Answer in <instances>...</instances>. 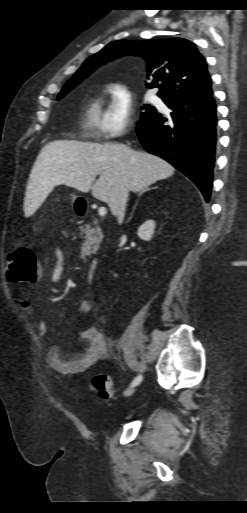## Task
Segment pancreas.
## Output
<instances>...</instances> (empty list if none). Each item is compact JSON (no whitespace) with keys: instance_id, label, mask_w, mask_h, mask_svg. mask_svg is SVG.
<instances>
[{"instance_id":"1","label":"pancreas","mask_w":247,"mask_h":513,"mask_svg":"<svg viewBox=\"0 0 247 513\" xmlns=\"http://www.w3.org/2000/svg\"><path fill=\"white\" fill-rule=\"evenodd\" d=\"M93 227L91 224H85L80 227V233L84 234V242L82 243L81 256L85 258L95 253L102 242V231L96 219L93 220Z\"/></svg>"}]
</instances>
